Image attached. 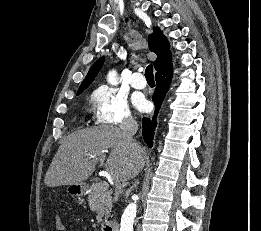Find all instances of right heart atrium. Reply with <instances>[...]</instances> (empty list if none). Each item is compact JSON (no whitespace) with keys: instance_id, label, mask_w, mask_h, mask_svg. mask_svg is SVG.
<instances>
[{"instance_id":"right-heart-atrium-1","label":"right heart atrium","mask_w":261,"mask_h":231,"mask_svg":"<svg viewBox=\"0 0 261 231\" xmlns=\"http://www.w3.org/2000/svg\"><path fill=\"white\" fill-rule=\"evenodd\" d=\"M91 101L97 123L121 127L133 123L127 99L116 89L100 86L92 92Z\"/></svg>"}]
</instances>
